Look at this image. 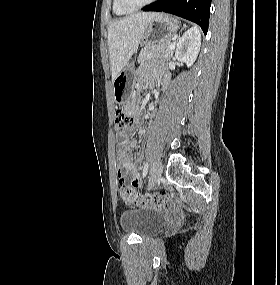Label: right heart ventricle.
Wrapping results in <instances>:
<instances>
[{
	"label": "right heart ventricle",
	"instance_id": "right-heart-ventricle-1",
	"mask_svg": "<svg viewBox=\"0 0 280 285\" xmlns=\"http://www.w3.org/2000/svg\"><path fill=\"white\" fill-rule=\"evenodd\" d=\"M112 8H113V12L116 15H127L129 13H131L132 11H128L125 10L119 3L118 0H113V4H112Z\"/></svg>",
	"mask_w": 280,
	"mask_h": 285
}]
</instances>
